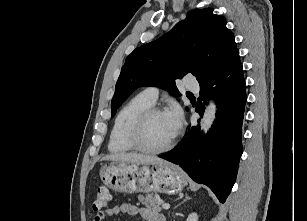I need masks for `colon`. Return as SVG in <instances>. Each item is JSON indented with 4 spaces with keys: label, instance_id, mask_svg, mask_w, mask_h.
<instances>
[{
    "label": "colon",
    "instance_id": "5ec220e1",
    "mask_svg": "<svg viewBox=\"0 0 307 221\" xmlns=\"http://www.w3.org/2000/svg\"><path fill=\"white\" fill-rule=\"evenodd\" d=\"M111 200V194L107 187H100L97 191V196L94 202L95 210H104Z\"/></svg>",
    "mask_w": 307,
    "mask_h": 221
}]
</instances>
